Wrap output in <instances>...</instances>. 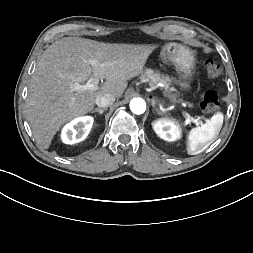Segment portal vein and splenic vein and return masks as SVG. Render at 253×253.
<instances>
[{
  "label": "portal vein and splenic vein",
  "instance_id": "1",
  "mask_svg": "<svg viewBox=\"0 0 253 253\" xmlns=\"http://www.w3.org/2000/svg\"><path fill=\"white\" fill-rule=\"evenodd\" d=\"M91 65L93 67L96 66L95 61H90ZM99 82V79L97 77H91L86 84H74L71 86V89L77 92L80 91H87V90H95L97 88V84ZM186 121L185 123L188 124L191 121L194 122L196 125H203L202 121H198L197 119L192 118L188 113H185Z\"/></svg>",
  "mask_w": 253,
  "mask_h": 253
}]
</instances>
